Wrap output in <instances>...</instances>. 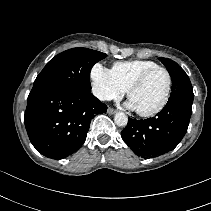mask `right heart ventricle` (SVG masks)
Returning a JSON list of instances; mask_svg holds the SVG:
<instances>
[{"label": "right heart ventricle", "instance_id": "right-heart-ventricle-1", "mask_svg": "<svg viewBox=\"0 0 211 211\" xmlns=\"http://www.w3.org/2000/svg\"><path fill=\"white\" fill-rule=\"evenodd\" d=\"M158 66L157 63L150 60L120 61L113 64L111 72L119 85L124 90H128L139 76Z\"/></svg>", "mask_w": 211, "mask_h": 211}]
</instances>
